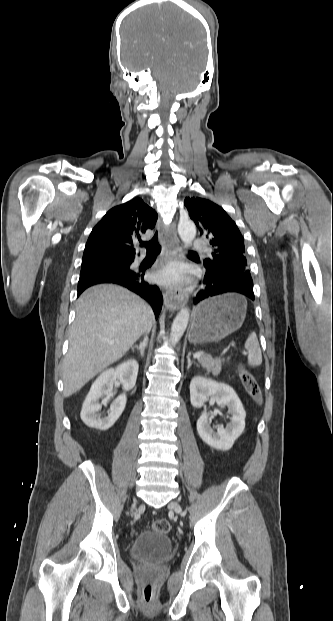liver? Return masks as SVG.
<instances>
[{
    "label": "liver",
    "instance_id": "6515ba94",
    "mask_svg": "<svg viewBox=\"0 0 333 621\" xmlns=\"http://www.w3.org/2000/svg\"><path fill=\"white\" fill-rule=\"evenodd\" d=\"M154 322L150 307L130 291L112 284L88 288L76 304V318L63 360L64 396L121 358Z\"/></svg>",
    "mask_w": 333,
    "mask_h": 621
}]
</instances>
